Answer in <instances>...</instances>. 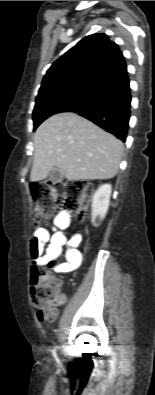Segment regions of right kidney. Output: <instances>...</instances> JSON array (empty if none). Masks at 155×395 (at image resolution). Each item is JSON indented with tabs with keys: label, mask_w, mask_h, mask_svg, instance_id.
<instances>
[{
	"label": "right kidney",
	"mask_w": 155,
	"mask_h": 395,
	"mask_svg": "<svg viewBox=\"0 0 155 395\" xmlns=\"http://www.w3.org/2000/svg\"><path fill=\"white\" fill-rule=\"evenodd\" d=\"M112 187L110 184L100 186L92 198V219L93 226L98 227L104 220L109 204Z\"/></svg>",
	"instance_id": "1"
}]
</instances>
